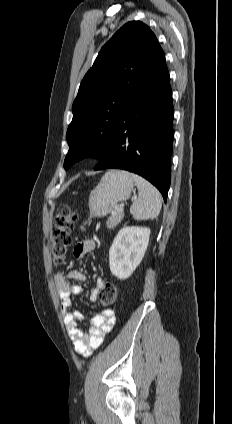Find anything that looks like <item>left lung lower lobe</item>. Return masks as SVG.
Segmentation results:
<instances>
[{
  "label": "left lung lower lobe",
  "mask_w": 232,
  "mask_h": 424,
  "mask_svg": "<svg viewBox=\"0 0 232 424\" xmlns=\"http://www.w3.org/2000/svg\"><path fill=\"white\" fill-rule=\"evenodd\" d=\"M173 136L172 91L164 57L126 106L94 169L139 174L166 202Z\"/></svg>",
  "instance_id": "1"
}]
</instances>
